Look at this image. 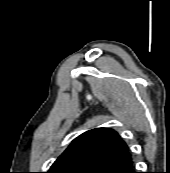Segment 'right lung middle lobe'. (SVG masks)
<instances>
[{
  "mask_svg": "<svg viewBox=\"0 0 170 173\" xmlns=\"http://www.w3.org/2000/svg\"><path fill=\"white\" fill-rule=\"evenodd\" d=\"M63 173H74V171H64Z\"/></svg>",
  "mask_w": 170,
  "mask_h": 173,
  "instance_id": "obj_1",
  "label": "right lung middle lobe"
}]
</instances>
